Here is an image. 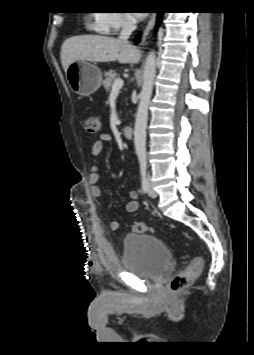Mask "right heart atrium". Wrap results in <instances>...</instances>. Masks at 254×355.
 <instances>
[{
  "instance_id": "d8ad5b80",
  "label": "right heart atrium",
  "mask_w": 254,
  "mask_h": 355,
  "mask_svg": "<svg viewBox=\"0 0 254 355\" xmlns=\"http://www.w3.org/2000/svg\"><path fill=\"white\" fill-rule=\"evenodd\" d=\"M134 25L131 15L122 10H104L94 15L95 28L106 34H115Z\"/></svg>"
}]
</instances>
